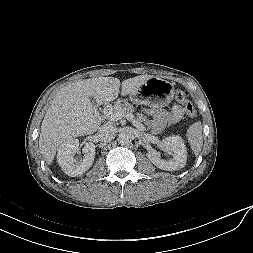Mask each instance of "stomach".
Segmentation results:
<instances>
[{
    "label": "stomach",
    "instance_id": "0dacf381",
    "mask_svg": "<svg viewBox=\"0 0 253 253\" xmlns=\"http://www.w3.org/2000/svg\"><path fill=\"white\" fill-rule=\"evenodd\" d=\"M174 93L173 83L159 77H151L139 89L130 93V100L151 107H164L173 100Z\"/></svg>",
    "mask_w": 253,
    "mask_h": 253
}]
</instances>
